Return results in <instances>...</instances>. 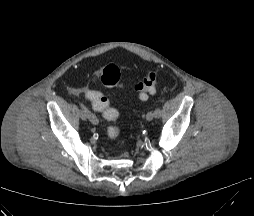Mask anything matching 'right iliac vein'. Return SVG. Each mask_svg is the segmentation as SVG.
<instances>
[{
  "mask_svg": "<svg viewBox=\"0 0 254 216\" xmlns=\"http://www.w3.org/2000/svg\"><path fill=\"white\" fill-rule=\"evenodd\" d=\"M79 117H80V119H81L82 121H86V120L88 119V116H87L86 112L83 111V110H80V111H79Z\"/></svg>",
  "mask_w": 254,
  "mask_h": 216,
  "instance_id": "right-iliac-vein-1",
  "label": "right iliac vein"
}]
</instances>
